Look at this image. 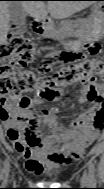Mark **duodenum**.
<instances>
[{
	"label": "duodenum",
	"mask_w": 104,
	"mask_h": 189,
	"mask_svg": "<svg viewBox=\"0 0 104 189\" xmlns=\"http://www.w3.org/2000/svg\"><path fill=\"white\" fill-rule=\"evenodd\" d=\"M50 26V20L48 19H38L33 22V30L39 34L44 35L48 32Z\"/></svg>",
	"instance_id": "1"
}]
</instances>
